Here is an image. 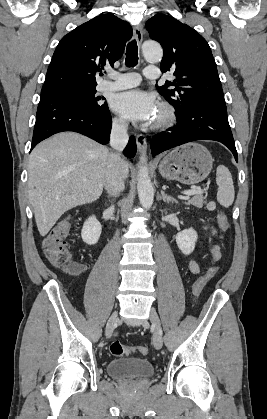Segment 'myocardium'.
<instances>
[{"label": "myocardium", "instance_id": "f54148a6", "mask_svg": "<svg viewBox=\"0 0 267 419\" xmlns=\"http://www.w3.org/2000/svg\"><path fill=\"white\" fill-rule=\"evenodd\" d=\"M160 117L153 123V129L165 130L172 127L176 122V112L174 107L167 103L162 102L159 105Z\"/></svg>", "mask_w": 267, "mask_h": 419}]
</instances>
